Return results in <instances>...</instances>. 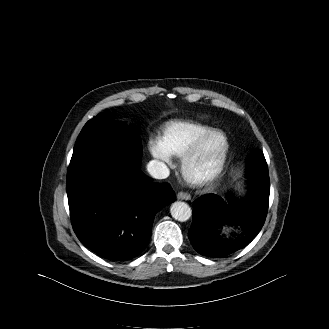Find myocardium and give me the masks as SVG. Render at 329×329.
Segmentation results:
<instances>
[{
	"instance_id": "1",
	"label": "myocardium",
	"mask_w": 329,
	"mask_h": 329,
	"mask_svg": "<svg viewBox=\"0 0 329 329\" xmlns=\"http://www.w3.org/2000/svg\"><path fill=\"white\" fill-rule=\"evenodd\" d=\"M220 135L223 138V147L216 167L203 176H194L190 173V166L193 160L201 152L205 143L213 136ZM230 152V142L226 133L220 129H212L199 137L193 145L181 157V173L183 177L192 185L205 186L216 180L223 172Z\"/></svg>"
}]
</instances>
